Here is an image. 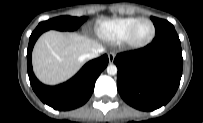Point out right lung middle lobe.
<instances>
[{
	"mask_svg": "<svg viewBox=\"0 0 203 123\" xmlns=\"http://www.w3.org/2000/svg\"><path fill=\"white\" fill-rule=\"evenodd\" d=\"M86 19V17L60 16L39 23L36 30L47 31L49 29H56L60 31H74L85 22Z\"/></svg>",
	"mask_w": 203,
	"mask_h": 123,
	"instance_id": "obj_1",
	"label": "right lung middle lobe"
}]
</instances>
